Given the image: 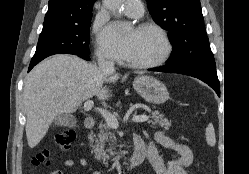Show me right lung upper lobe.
<instances>
[{
    "mask_svg": "<svg viewBox=\"0 0 249 174\" xmlns=\"http://www.w3.org/2000/svg\"><path fill=\"white\" fill-rule=\"evenodd\" d=\"M96 0H49L43 30L67 24H77L92 18Z\"/></svg>",
    "mask_w": 249,
    "mask_h": 174,
    "instance_id": "right-lung-upper-lobe-1",
    "label": "right lung upper lobe"
}]
</instances>
